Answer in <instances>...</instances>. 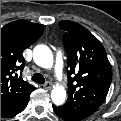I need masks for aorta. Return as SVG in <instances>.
<instances>
[{
    "mask_svg": "<svg viewBox=\"0 0 121 121\" xmlns=\"http://www.w3.org/2000/svg\"><path fill=\"white\" fill-rule=\"evenodd\" d=\"M33 60L42 68L53 66V54L46 45H37L33 49ZM51 99L55 105H62L66 99V90L62 85H56L51 91Z\"/></svg>",
    "mask_w": 121,
    "mask_h": 121,
    "instance_id": "1",
    "label": "aorta"
}]
</instances>
